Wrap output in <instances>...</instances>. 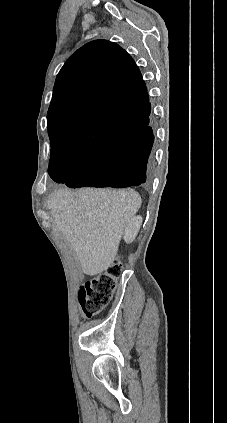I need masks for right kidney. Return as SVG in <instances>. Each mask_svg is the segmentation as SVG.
I'll list each match as a JSON object with an SVG mask.
<instances>
[{
	"label": "right kidney",
	"instance_id": "1",
	"mask_svg": "<svg viewBox=\"0 0 227 423\" xmlns=\"http://www.w3.org/2000/svg\"><path fill=\"white\" fill-rule=\"evenodd\" d=\"M141 225L142 215H134V217L129 219L124 231V241H126V243H132V241H134L136 235H138Z\"/></svg>",
	"mask_w": 227,
	"mask_h": 423
}]
</instances>
